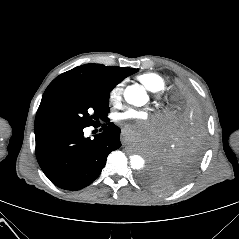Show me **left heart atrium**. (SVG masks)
<instances>
[{
  "mask_svg": "<svg viewBox=\"0 0 239 239\" xmlns=\"http://www.w3.org/2000/svg\"><path fill=\"white\" fill-rule=\"evenodd\" d=\"M115 119L117 121H125L129 119L136 120V124H127L126 130L129 132L133 137L136 134L137 127H141L145 130H150L154 124L157 122V117L151 116L148 114L147 111L143 110H136V109H128L124 112L117 113L115 115Z\"/></svg>",
  "mask_w": 239,
  "mask_h": 239,
  "instance_id": "left-heart-atrium-1",
  "label": "left heart atrium"
}]
</instances>
